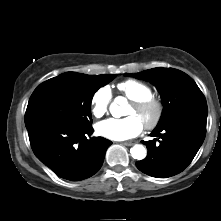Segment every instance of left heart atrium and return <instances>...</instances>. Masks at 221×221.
I'll use <instances>...</instances> for the list:
<instances>
[{
  "instance_id": "39dd6f15",
  "label": "left heart atrium",
  "mask_w": 221,
  "mask_h": 221,
  "mask_svg": "<svg viewBox=\"0 0 221 221\" xmlns=\"http://www.w3.org/2000/svg\"><path fill=\"white\" fill-rule=\"evenodd\" d=\"M143 129V123L136 116L123 119L109 118L99 122L96 126L97 133L105 138L122 141L131 139Z\"/></svg>"
}]
</instances>
